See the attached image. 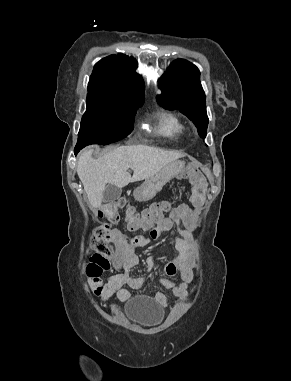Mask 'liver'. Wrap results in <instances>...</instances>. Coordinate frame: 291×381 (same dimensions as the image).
<instances>
[{"mask_svg":"<svg viewBox=\"0 0 291 381\" xmlns=\"http://www.w3.org/2000/svg\"><path fill=\"white\" fill-rule=\"evenodd\" d=\"M183 156L177 151L131 145L119 147L94 159L92 149H86L79 156L77 174L90 204L99 208L107 184L122 188L131 182L146 180ZM129 168L133 170L132 177L127 172Z\"/></svg>","mask_w":291,"mask_h":381,"instance_id":"liver-1","label":"liver"}]
</instances>
